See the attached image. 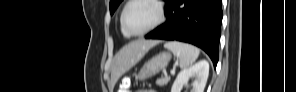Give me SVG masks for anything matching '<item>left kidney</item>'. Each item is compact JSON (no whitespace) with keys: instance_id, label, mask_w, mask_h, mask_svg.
I'll return each instance as SVG.
<instances>
[{"instance_id":"obj_1","label":"left kidney","mask_w":296,"mask_h":92,"mask_svg":"<svg viewBox=\"0 0 296 92\" xmlns=\"http://www.w3.org/2000/svg\"><path fill=\"white\" fill-rule=\"evenodd\" d=\"M209 75V63L206 60L199 61L193 66L180 71L174 81L171 92H181L183 86L188 84L190 78L195 77L191 92H203Z\"/></svg>"}]
</instances>
